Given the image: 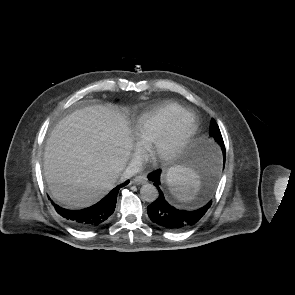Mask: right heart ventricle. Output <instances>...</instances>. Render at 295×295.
Listing matches in <instances>:
<instances>
[{
    "instance_id": "right-heart-ventricle-1",
    "label": "right heart ventricle",
    "mask_w": 295,
    "mask_h": 295,
    "mask_svg": "<svg viewBox=\"0 0 295 295\" xmlns=\"http://www.w3.org/2000/svg\"><path fill=\"white\" fill-rule=\"evenodd\" d=\"M184 112L176 103H165L139 115L133 125V134L142 147L150 146L171 122Z\"/></svg>"
}]
</instances>
